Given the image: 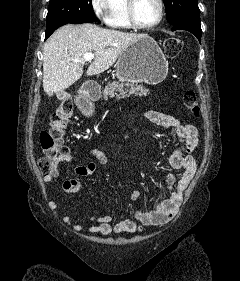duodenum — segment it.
<instances>
[{
    "instance_id": "duodenum-1",
    "label": "duodenum",
    "mask_w": 240,
    "mask_h": 281,
    "mask_svg": "<svg viewBox=\"0 0 240 281\" xmlns=\"http://www.w3.org/2000/svg\"><path fill=\"white\" fill-rule=\"evenodd\" d=\"M99 95L98 88L95 86H87L83 89L82 93V103H85L86 101H93L95 100Z\"/></svg>"
}]
</instances>
